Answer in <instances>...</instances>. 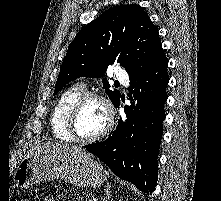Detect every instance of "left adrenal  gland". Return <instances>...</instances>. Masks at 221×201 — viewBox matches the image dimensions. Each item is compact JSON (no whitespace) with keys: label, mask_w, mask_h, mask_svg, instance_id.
I'll return each mask as SVG.
<instances>
[{"label":"left adrenal gland","mask_w":221,"mask_h":201,"mask_svg":"<svg viewBox=\"0 0 221 201\" xmlns=\"http://www.w3.org/2000/svg\"><path fill=\"white\" fill-rule=\"evenodd\" d=\"M110 198V195H108V199ZM107 200V198L106 199H104L103 201H106Z\"/></svg>","instance_id":"obj_1"}]
</instances>
